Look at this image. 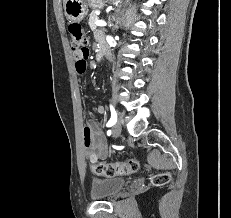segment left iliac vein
<instances>
[{"mask_svg":"<svg viewBox=\"0 0 231 218\" xmlns=\"http://www.w3.org/2000/svg\"><path fill=\"white\" fill-rule=\"evenodd\" d=\"M122 120L121 118L118 119V121L114 124L112 128V134L114 137H118L121 134L122 131Z\"/></svg>","mask_w":231,"mask_h":218,"instance_id":"left-iliac-vein-1","label":"left iliac vein"}]
</instances>
